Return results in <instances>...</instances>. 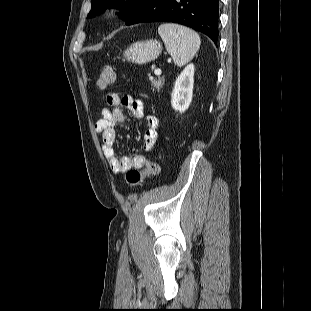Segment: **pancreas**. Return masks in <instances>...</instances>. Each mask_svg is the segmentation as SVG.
<instances>
[{"label": "pancreas", "mask_w": 311, "mask_h": 311, "mask_svg": "<svg viewBox=\"0 0 311 311\" xmlns=\"http://www.w3.org/2000/svg\"><path fill=\"white\" fill-rule=\"evenodd\" d=\"M152 86H153V91H160V89L162 88L163 84H164V80L162 78L159 79H154L151 81Z\"/></svg>", "instance_id": "obj_1"}]
</instances>
